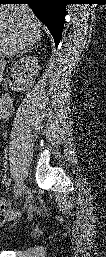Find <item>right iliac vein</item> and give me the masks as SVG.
I'll use <instances>...</instances> for the list:
<instances>
[{
  "label": "right iliac vein",
  "instance_id": "obj_1",
  "mask_svg": "<svg viewBox=\"0 0 106 257\" xmlns=\"http://www.w3.org/2000/svg\"><path fill=\"white\" fill-rule=\"evenodd\" d=\"M17 182L19 183V190H18V193L16 195V198H19L22 195V193L24 192L25 186L23 184V181L17 180Z\"/></svg>",
  "mask_w": 106,
  "mask_h": 257
}]
</instances>
